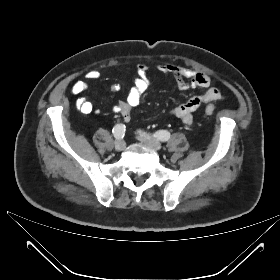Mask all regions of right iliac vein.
I'll return each instance as SVG.
<instances>
[{
    "label": "right iliac vein",
    "mask_w": 280,
    "mask_h": 280,
    "mask_svg": "<svg viewBox=\"0 0 280 280\" xmlns=\"http://www.w3.org/2000/svg\"><path fill=\"white\" fill-rule=\"evenodd\" d=\"M125 147H126V143H125L124 140H117V141L115 142V149H116L117 151H122V150L125 149Z\"/></svg>",
    "instance_id": "63e3f726"
}]
</instances>
